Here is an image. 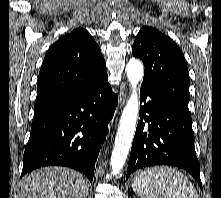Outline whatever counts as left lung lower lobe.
<instances>
[{
  "label": "left lung lower lobe",
  "instance_id": "0a47b994",
  "mask_svg": "<svg viewBox=\"0 0 221 198\" xmlns=\"http://www.w3.org/2000/svg\"><path fill=\"white\" fill-rule=\"evenodd\" d=\"M140 96L144 106L140 109L126 179L144 167L174 165L187 170L202 189L190 113L148 82L142 83Z\"/></svg>",
  "mask_w": 221,
  "mask_h": 198
}]
</instances>
